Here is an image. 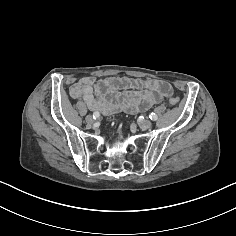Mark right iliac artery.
Wrapping results in <instances>:
<instances>
[{
	"label": "right iliac artery",
	"mask_w": 236,
	"mask_h": 236,
	"mask_svg": "<svg viewBox=\"0 0 236 236\" xmlns=\"http://www.w3.org/2000/svg\"><path fill=\"white\" fill-rule=\"evenodd\" d=\"M100 114L98 112L93 113V119L99 118Z\"/></svg>",
	"instance_id": "1"
}]
</instances>
